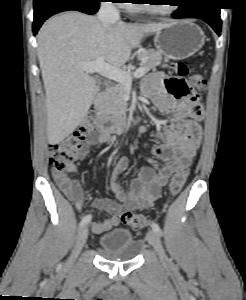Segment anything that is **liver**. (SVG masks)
I'll use <instances>...</instances> for the list:
<instances>
[{
    "instance_id": "6515ba94",
    "label": "liver",
    "mask_w": 246,
    "mask_h": 300,
    "mask_svg": "<svg viewBox=\"0 0 246 300\" xmlns=\"http://www.w3.org/2000/svg\"><path fill=\"white\" fill-rule=\"evenodd\" d=\"M166 25L117 21L106 30L98 18L75 11L44 23L38 33L37 55L46 92L49 144L68 137L92 105L96 82L81 64L103 58L120 68L146 35Z\"/></svg>"
}]
</instances>
